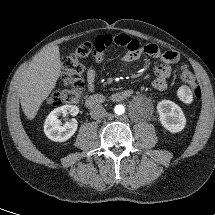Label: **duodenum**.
Instances as JSON below:
<instances>
[{"label":"duodenum","mask_w":215,"mask_h":215,"mask_svg":"<svg viewBox=\"0 0 215 215\" xmlns=\"http://www.w3.org/2000/svg\"><path fill=\"white\" fill-rule=\"evenodd\" d=\"M132 94L130 89H124L113 93L109 99L113 102H121L127 100ZM107 101V98L100 94H92L85 99V105L87 107H95L103 104Z\"/></svg>","instance_id":"obj_1"}]
</instances>
